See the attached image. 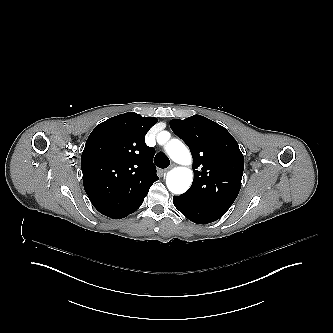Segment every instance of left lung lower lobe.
<instances>
[{
    "label": "left lung lower lobe",
    "instance_id": "1",
    "mask_svg": "<svg viewBox=\"0 0 333 333\" xmlns=\"http://www.w3.org/2000/svg\"><path fill=\"white\" fill-rule=\"evenodd\" d=\"M173 203L186 218L199 224L214 222L228 211L227 208L201 204L181 195L174 196Z\"/></svg>",
    "mask_w": 333,
    "mask_h": 333
}]
</instances>
